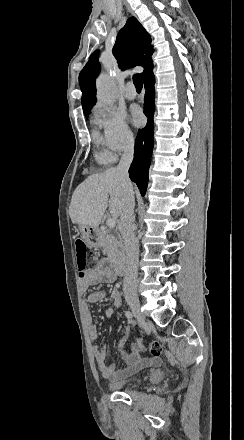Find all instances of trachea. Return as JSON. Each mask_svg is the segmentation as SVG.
Returning <instances> with one entry per match:
<instances>
[{
    "mask_svg": "<svg viewBox=\"0 0 244 440\" xmlns=\"http://www.w3.org/2000/svg\"><path fill=\"white\" fill-rule=\"evenodd\" d=\"M133 83L137 91H141L143 88V80L141 75H133Z\"/></svg>",
    "mask_w": 244,
    "mask_h": 440,
    "instance_id": "3493384b",
    "label": "trachea"
}]
</instances>
